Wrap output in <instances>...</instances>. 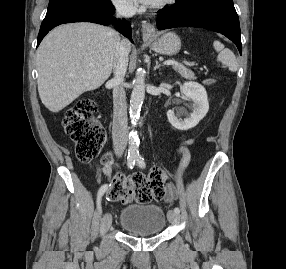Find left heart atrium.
<instances>
[{"label": "left heart atrium", "instance_id": "obj_1", "mask_svg": "<svg viewBox=\"0 0 286 269\" xmlns=\"http://www.w3.org/2000/svg\"><path fill=\"white\" fill-rule=\"evenodd\" d=\"M131 1L145 6L152 5L155 2V0H131Z\"/></svg>", "mask_w": 286, "mask_h": 269}]
</instances>
